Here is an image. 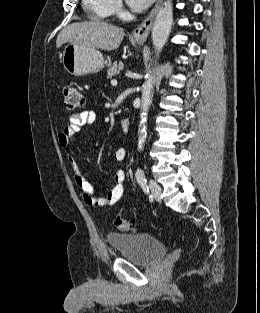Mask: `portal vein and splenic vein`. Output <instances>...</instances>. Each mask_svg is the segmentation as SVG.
Returning <instances> with one entry per match:
<instances>
[{
  "mask_svg": "<svg viewBox=\"0 0 260 313\" xmlns=\"http://www.w3.org/2000/svg\"><path fill=\"white\" fill-rule=\"evenodd\" d=\"M117 84V81L116 80H112L111 81V85H116Z\"/></svg>",
  "mask_w": 260,
  "mask_h": 313,
  "instance_id": "1",
  "label": "portal vein and splenic vein"
}]
</instances>
